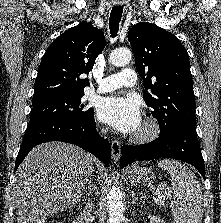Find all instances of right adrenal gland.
Returning a JSON list of instances; mask_svg holds the SVG:
<instances>
[{
  "instance_id": "2a0ac1e0",
  "label": "right adrenal gland",
  "mask_w": 221,
  "mask_h": 223,
  "mask_svg": "<svg viewBox=\"0 0 221 223\" xmlns=\"http://www.w3.org/2000/svg\"><path fill=\"white\" fill-rule=\"evenodd\" d=\"M83 201H84V203L86 204V198H85V197H83Z\"/></svg>"
}]
</instances>
